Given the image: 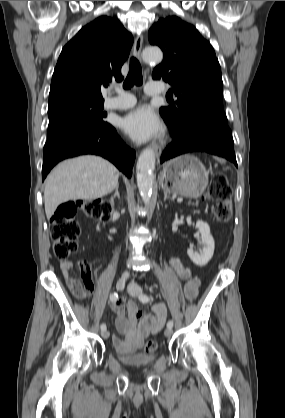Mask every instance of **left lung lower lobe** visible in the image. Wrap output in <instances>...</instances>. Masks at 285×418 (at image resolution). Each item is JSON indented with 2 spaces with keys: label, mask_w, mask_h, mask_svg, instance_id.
Segmentation results:
<instances>
[{
  "label": "left lung lower lobe",
  "mask_w": 285,
  "mask_h": 418,
  "mask_svg": "<svg viewBox=\"0 0 285 418\" xmlns=\"http://www.w3.org/2000/svg\"><path fill=\"white\" fill-rule=\"evenodd\" d=\"M172 137V143L161 156V163L184 153L201 151L225 157L237 166L234 141L228 125L201 121L183 134Z\"/></svg>",
  "instance_id": "0a47b994"
}]
</instances>
